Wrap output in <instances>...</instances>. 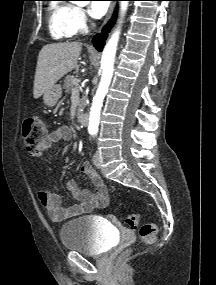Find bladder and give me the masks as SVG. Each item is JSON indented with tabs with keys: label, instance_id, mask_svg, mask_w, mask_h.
Wrapping results in <instances>:
<instances>
[{
	"label": "bladder",
	"instance_id": "1",
	"mask_svg": "<svg viewBox=\"0 0 216 285\" xmlns=\"http://www.w3.org/2000/svg\"><path fill=\"white\" fill-rule=\"evenodd\" d=\"M63 246L87 255H101L113 245L115 234L94 216H82L65 223L60 229Z\"/></svg>",
	"mask_w": 216,
	"mask_h": 285
}]
</instances>
